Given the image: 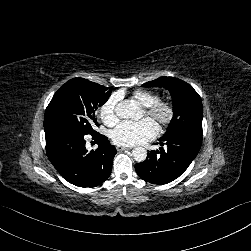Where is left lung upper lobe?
<instances>
[{
  "label": "left lung upper lobe",
  "mask_w": 251,
  "mask_h": 251,
  "mask_svg": "<svg viewBox=\"0 0 251 251\" xmlns=\"http://www.w3.org/2000/svg\"><path fill=\"white\" fill-rule=\"evenodd\" d=\"M144 87H164L169 90L174 117L163 137L178 133H189L202 136V101L198 93L188 83L174 77H160L143 84Z\"/></svg>",
  "instance_id": "obj_1"
}]
</instances>
